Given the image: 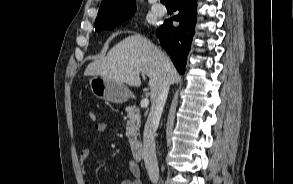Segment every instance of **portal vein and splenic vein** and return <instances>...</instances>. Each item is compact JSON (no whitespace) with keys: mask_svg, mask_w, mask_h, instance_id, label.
I'll use <instances>...</instances> for the list:
<instances>
[{"mask_svg":"<svg viewBox=\"0 0 293 184\" xmlns=\"http://www.w3.org/2000/svg\"><path fill=\"white\" fill-rule=\"evenodd\" d=\"M148 105H149V100H148V98H144V99H142V101H141V107H142V108H146Z\"/></svg>","mask_w":293,"mask_h":184,"instance_id":"obj_1","label":"portal vein and splenic vein"}]
</instances>
